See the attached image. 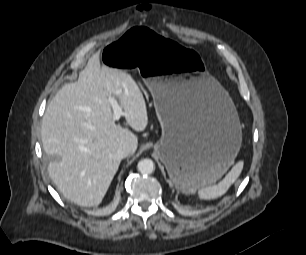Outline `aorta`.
Returning <instances> with one entry per match:
<instances>
[{"label": "aorta", "instance_id": "762f6f07", "mask_svg": "<svg viewBox=\"0 0 306 255\" xmlns=\"http://www.w3.org/2000/svg\"><path fill=\"white\" fill-rule=\"evenodd\" d=\"M137 169L142 174H151L155 170V165L151 159L145 158L138 162Z\"/></svg>", "mask_w": 306, "mask_h": 255}]
</instances>
